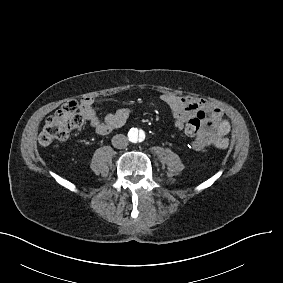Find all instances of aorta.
<instances>
[{
  "mask_svg": "<svg viewBox=\"0 0 283 283\" xmlns=\"http://www.w3.org/2000/svg\"><path fill=\"white\" fill-rule=\"evenodd\" d=\"M145 137V132L138 128H131L128 132L129 141L132 143L142 142Z\"/></svg>",
  "mask_w": 283,
  "mask_h": 283,
  "instance_id": "obj_1",
  "label": "aorta"
}]
</instances>
